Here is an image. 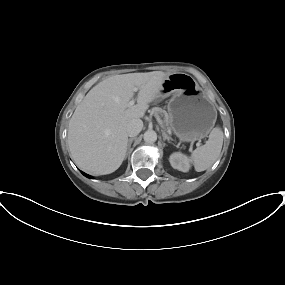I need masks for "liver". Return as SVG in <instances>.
Returning <instances> with one entry per match:
<instances>
[{"label":"liver","mask_w":285,"mask_h":285,"mask_svg":"<svg viewBox=\"0 0 285 285\" xmlns=\"http://www.w3.org/2000/svg\"><path fill=\"white\" fill-rule=\"evenodd\" d=\"M171 73L153 71L115 75L94 86L76 107L68 127V145L76 165L94 175L116 171L128 145L126 127L140 119ZM139 89L137 104L128 107Z\"/></svg>","instance_id":"6515ba94"}]
</instances>
